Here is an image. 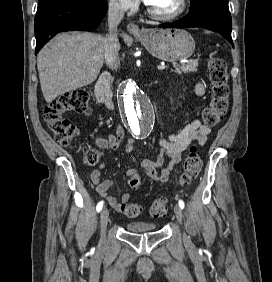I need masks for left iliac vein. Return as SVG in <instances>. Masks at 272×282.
I'll list each match as a JSON object with an SVG mask.
<instances>
[{"label": "left iliac vein", "mask_w": 272, "mask_h": 282, "mask_svg": "<svg viewBox=\"0 0 272 282\" xmlns=\"http://www.w3.org/2000/svg\"><path fill=\"white\" fill-rule=\"evenodd\" d=\"M174 212L177 218V221L179 222V224L182 223V219H183V212H182V208L179 205H175L174 207ZM184 241L187 242V238L185 235H183Z\"/></svg>", "instance_id": "1"}]
</instances>
